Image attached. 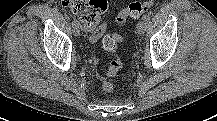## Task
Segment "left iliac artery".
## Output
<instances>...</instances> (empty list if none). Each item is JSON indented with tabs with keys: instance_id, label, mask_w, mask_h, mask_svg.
<instances>
[{
	"instance_id": "1",
	"label": "left iliac artery",
	"mask_w": 217,
	"mask_h": 121,
	"mask_svg": "<svg viewBox=\"0 0 217 121\" xmlns=\"http://www.w3.org/2000/svg\"><path fill=\"white\" fill-rule=\"evenodd\" d=\"M150 14H145L144 16H143V20L144 21H146V22H148L149 20H150Z\"/></svg>"
}]
</instances>
